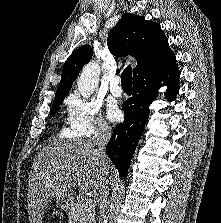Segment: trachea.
Returning <instances> with one entry per match:
<instances>
[{"label": "trachea", "mask_w": 221, "mask_h": 223, "mask_svg": "<svg viewBox=\"0 0 221 223\" xmlns=\"http://www.w3.org/2000/svg\"><path fill=\"white\" fill-rule=\"evenodd\" d=\"M121 85L123 88H132V68L128 66L121 74Z\"/></svg>", "instance_id": "obj_1"}]
</instances>
